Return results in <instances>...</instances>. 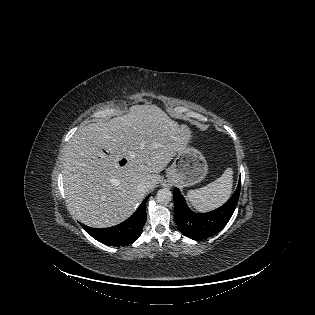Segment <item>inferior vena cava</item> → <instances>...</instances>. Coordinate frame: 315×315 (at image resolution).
<instances>
[{
	"instance_id": "602c4592",
	"label": "inferior vena cava",
	"mask_w": 315,
	"mask_h": 315,
	"mask_svg": "<svg viewBox=\"0 0 315 315\" xmlns=\"http://www.w3.org/2000/svg\"><path fill=\"white\" fill-rule=\"evenodd\" d=\"M137 191L139 193H146L148 191V184L145 181L140 182V184L138 185V189Z\"/></svg>"
}]
</instances>
